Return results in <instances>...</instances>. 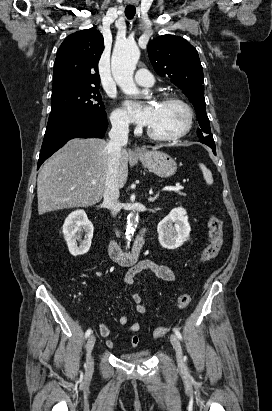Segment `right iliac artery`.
Listing matches in <instances>:
<instances>
[{"label": "right iliac artery", "mask_w": 272, "mask_h": 411, "mask_svg": "<svg viewBox=\"0 0 272 411\" xmlns=\"http://www.w3.org/2000/svg\"><path fill=\"white\" fill-rule=\"evenodd\" d=\"M92 333V330L91 329H88L87 331H86V333H85V337L87 338V337H89V335Z\"/></svg>", "instance_id": "1"}]
</instances>
